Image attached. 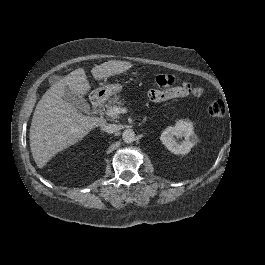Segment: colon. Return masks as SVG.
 <instances>
[{
  "mask_svg": "<svg viewBox=\"0 0 265 265\" xmlns=\"http://www.w3.org/2000/svg\"><path fill=\"white\" fill-rule=\"evenodd\" d=\"M178 83L179 80L170 74H160L156 77V84L161 88H173ZM208 112L213 117L221 118L225 116L227 108L223 101L217 100L210 104Z\"/></svg>",
  "mask_w": 265,
  "mask_h": 265,
  "instance_id": "1",
  "label": "colon"
}]
</instances>
